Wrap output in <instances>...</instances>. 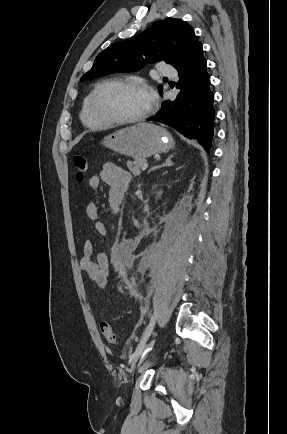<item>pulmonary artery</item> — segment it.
Instances as JSON below:
<instances>
[{"label": "pulmonary artery", "mask_w": 287, "mask_h": 434, "mask_svg": "<svg viewBox=\"0 0 287 434\" xmlns=\"http://www.w3.org/2000/svg\"><path fill=\"white\" fill-rule=\"evenodd\" d=\"M159 70L160 74L163 76L175 77L177 75L176 69L170 65H161Z\"/></svg>", "instance_id": "pulmonary-artery-1"}]
</instances>
